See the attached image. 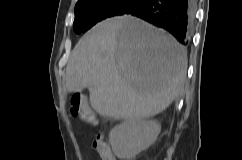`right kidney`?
I'll return each instance as SVG.
<instances>
[{"label":"right kidney","instance_id":"1","mask_svg":"<svg viewBox=\"0 0 242 160\" xmlns=\"http://www.w3.org/2000/svg\"><path fill=\"white\" fill-rule=\"evenodd\" d=\"M160 130L154 120H127L110 131L109 142L117 157L130 160L152 145Z\"/></svg>","mask_w":242,"mask_h":160}]
</instances>
